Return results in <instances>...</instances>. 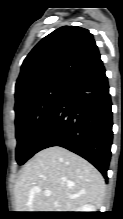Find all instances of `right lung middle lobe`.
Here are the masks:
<instances>
[{"label":"right lung middle lobe","instance_id":"dd1d6c3e","mask_svg":"<svg viewBox=\"0 0 123 219\" xmlns=\"http://www.w3.org/2000/svg\"><path fill=\"white\" fill-rule=\"evenodd\" d=\"M65 86L66 84L48 85L16 101V160L19 165L37 152V143L61 100Z\"/></svg>","mask_w":123,"mask_h":219}]
</instances>
